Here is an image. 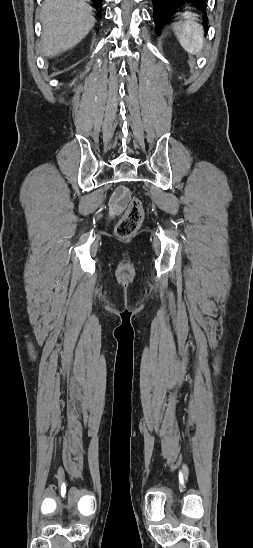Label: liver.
Here are the masks:
<instances>
[{
	"label": "liver",
	"instance_id": "liver-1",
	"mask_svg": "<svg viewBox=\"0 0 253 548\" xmlns=\"http://www.w3.org/2000/svg\"><path fill=\"white\" fill-rule=\"evenodd\" d=\"M40 21L44 57H54L76 46L96 22L92 7L84 0H45Z\"/></svg>",
	"mask_w": 253,
	"mask_h": 548
}]
</instances>
